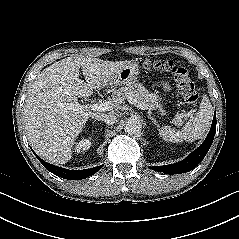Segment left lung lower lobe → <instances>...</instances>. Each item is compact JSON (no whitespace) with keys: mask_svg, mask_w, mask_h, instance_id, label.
I'll list each match as a JSON object with an SVG mask.
<instances>
[{"mask_svg":"<svg viewBox=\"0 0 239 239\" xmlns=\"http://www.w3.org/2000/svg\"><path fill=\"white\" fill-rule=\"evenodd\" d=\"M216 133V115L213 118L211 129L204 142L192 153H190L184 160L164 166H152L151 169L164 174H180L194 169L206 156L210 149L214 135Z\"/></svg>","mask_w":239,"mask_h":239,"instance_id":"1","label":"left lung lower lobe"}]
</instances>
